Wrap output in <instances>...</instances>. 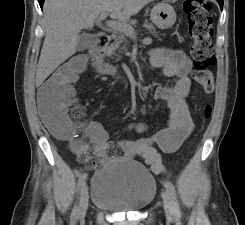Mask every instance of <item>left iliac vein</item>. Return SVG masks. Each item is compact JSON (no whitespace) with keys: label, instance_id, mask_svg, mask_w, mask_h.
<instances>
[{"label":"left iliac vein","instance_id":"left-iliac-vein-1","mask_svg":"<svg viewBox=\"0 0 245 225\" xmlns=\"http://www.w3.org/2000/svg\"><path fill=\"white\" fill-rule=\"evenodd\" d=\"M163 203H164V210L168 220L173 219V208H172V201L170 195L167 191H163L162 194Z\"/></svg>","mask_w":245,"mask_h":225}]
</instances>
